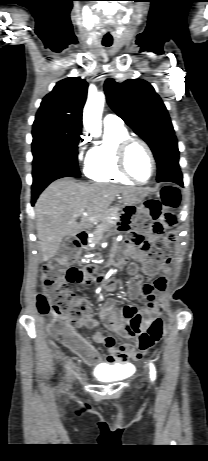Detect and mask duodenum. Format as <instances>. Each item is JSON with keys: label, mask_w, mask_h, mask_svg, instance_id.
Returning <instances> with one entry per match:
<instances>
[{"label": "duodenum", "mask_w": 208, "mask_h": 461, "mask_svg": "<svg viewBox=\"0 0 208 461\" xmlns=\"http://www.w3.org/2000/svg\"><path fill=\"white\" fill-rule=\"evenodd\" d=\"M88 236H89V232H88V231H81V232H79V234H78V237H79L82 241H86Z\"/></svg>", "instance_id": "1"}]
</instances>
